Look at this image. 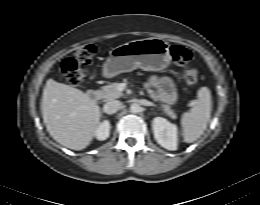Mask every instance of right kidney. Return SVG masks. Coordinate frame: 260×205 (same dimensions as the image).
Instances as JSON below:
<instances>
[{
    "label": "right kidney",
    "mask_w": 260,
    "mask_h": 205,
    "mask_svg": "<svg viewBox=\"0 0 260 205\" xmlns=\"http://www.w3.org/2000/svg\"><path fill=\"white\" fill-rule=\"evenodd\" d=\"M110 128V122L108 120L103 121L96 129L95 137L101 141L106 140L110 135Z\"/></svg>",
    "instance_id": "right-kidney-1"
}]
</instances>
